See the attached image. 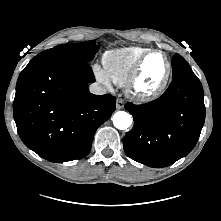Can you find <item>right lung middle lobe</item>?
I'll use <instances>...</instances> for the list:
<instances>
[{"instance_id":"dd1d6c3e","label":"right lung middle lobe","mask_w":221,"mask_h":221,"mask_svg":"<svg viewBox=\"0 0 221 221\" xmlns=\"http://www.w3.org/2000/svg\"><path fill=\"white\" fill-rule=\"evenodd\" d=\"M99 47L95 41L83 43H67L39 53L33 59H65L89 62L93 59Z\"/></svg>"}]
</instances>
